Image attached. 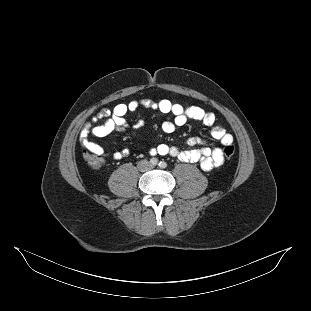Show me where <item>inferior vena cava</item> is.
<instances>
[{
	"instance_id": "obj_1",
	"label": "inferior vena cava",
	"mask_w": 311,
	"mask_h": 311,
	"mask_svg": "<svg viewBox=\"0 0 311 311\" xmlns=\"http://www.w3.org/2000/svg\"><path fill=\"white\" fill-rule=\"evenodd\" d=\"M137 167H138V170H139V171L147 172V171H149V169H150V164H149V162L143 160V161H140V162L138 163V166H137Z\"/></svg>"
}]
</instances>
